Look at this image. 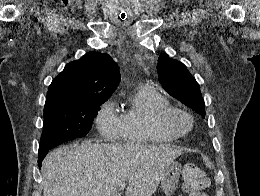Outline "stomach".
I'll return each instance as SVG.
<instances>
[{
  "label": "stomach",
  "mask_w": 260,
  "mask_h": 196,
  "mask_svg": "<svg viewBox=\"0 0 260 196\" xmlns=\"http://www.w3.org/2000/svg\"><path fill=\"white\" fill-rule=\"evenodd\" d=\"M181 164L172 162L165 170L163 178H161V188L165 196H173L175 190L178 188L180 178Z\"/></svg>",
  "instance_id": "stomach-1"
}]
</instances>
